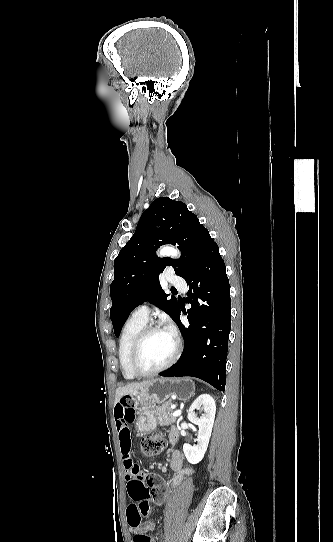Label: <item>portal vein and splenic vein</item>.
Returning a JSON list of instances; mask_svg holds the SVG:
<instances>
[{
  "instance_id": "portal-vein-and-splenic-vein-1",
  "label": "portal vein and splenic vein",
  "mask_w": 333,
  "mask_h": 542,
  "mask_svg": "<svg viewBox=\"0 0 333 542\" xmlns=\"http://www.w3.org/2000/svg\"><path fill=\"white\" fill-rule=\"evenodd\" d=\"M181 410H176V412H173L172 416L173 418H177V416H180Z\"/></svg>"
}]
</instances>
